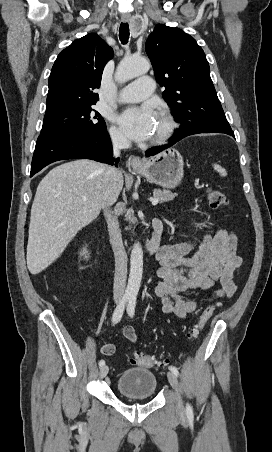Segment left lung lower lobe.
<instances>
[{"label": "left lung lower lobe", "instance_id": "1", "mask_svg": "<svg viewBox=\"0 0 272 452\" xmlns=\"http://www.w3.org/2000/svg\"><path fill=\"white\" fill-rule=\"evenodd\" d=\"M198 133H210L209 131H202L199 129H190V128H185V129H179L178 131H176L174 133V135L170 138L171 142L165 146H161V147H153L149 150L146 151V156H153L169 147H171L173 144H175L176 142H178L179 140H181L182 138L189 136V135H193V134H198ZM219 133H226L228 135H234L233 131L231 129L229 130H225L223 132H219Z\"/></svg>", "mask_w": 272, "mask_h": 452}]
</instances>
